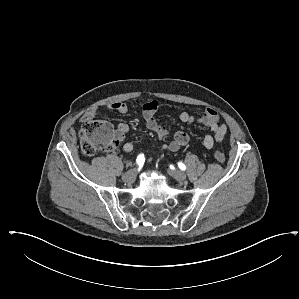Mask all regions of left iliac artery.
Returning <instances> with one entry per match:
<instances>
[{
	"instance_id": "obj_1",
	"label": "left iliac artery",
	"mask_w": 299,
	"mask_h": 299,
	"mask_svg": "<svg viewBox=\"0 0 299 299\" xmlns=\"http://www.w3.org/2000/svg\"><path fill=\"white\" fill-rule=\"evenodd\" d=\"M178 166L181 170H183V171L186 170V166L182 162H178Z\"/></svg>"
}]
</instances>
